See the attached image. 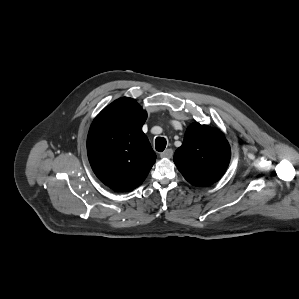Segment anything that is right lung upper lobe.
I'll return each instance as SVG.
<instances>
[{
    "label": "right lung upper lobe",
    "mask_w": 299,
    "mask_h": 299,
    "mask_svg": "<svg viewBox=\"0 0 299 299\" xmlns=\"http://www.w3.org/2000/svg\"><path fill=\"white\" fill-rule=\"evenodd\" d=\"M147 113L137 102L122 97L94 119L87 137V154L95 175L116 191L142 184L156 154L142 131Z\"/></svg>",
    "instance_id": "right-lung-upper-lobe-1"
}]
</instances>
